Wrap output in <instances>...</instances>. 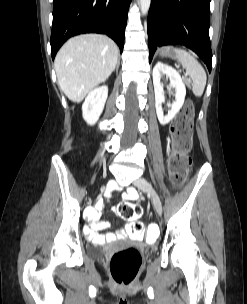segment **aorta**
<instances>
[{"label":"aorta","instance_id":"obj_1","mask_svg":"<svg viewBox=\"0 0 247 304\" xmlns=\"http://www.w3.org/2000/svg\"><path fill=\"white\" fill-rule=\"evenodd\" d=\"M151 0H140L142 14H146L150 8Z\"/></svg>","mask_w":247,"mask_h":304}]
</instances>
